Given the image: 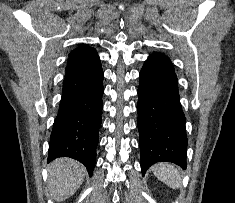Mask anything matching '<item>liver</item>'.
I'll return each instance as SVG.
<instances>
[{
  "label": "liver",
  "instance_id": "6515ba94",
  "mask_svg": "<svg viewBox=\"0 0 235 203\" xmlns=\"http://www.w3.org/2000/svg\"><path fill=\"white\" fill-rule=\"evenodd\" d=\"M85 167L71 158H58L48 167L50 196L64 201L72 196L84 181Z\"/></svg>",
  "mask_w": 235,
  "mask_h": 203
}]
</instances>
